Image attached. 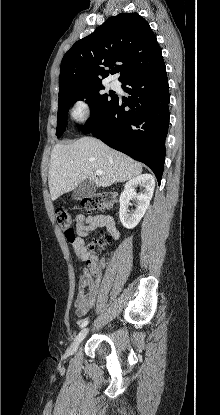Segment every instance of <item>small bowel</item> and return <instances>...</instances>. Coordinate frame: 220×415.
<instances>
[{
    "label": "small bowel",
    "instance_id": "c3829d8e",
    "mask_svg": "<svg viewBox=\"0 0 220 415\" xmlns=\"http://www.w3.org/2000/svg\"><path fill=\"white\" fill-rule=\"evenodd\" d=\"M105 228L112 239H117L119 232L114 218L111 215L78 214L75 217V229L65 231L67 241L73 246L81 260L88 258L85 238L99 229ZM99 292V281L91 279L87 274L81 276L77 286L75 311L77 316L83 317L93 308Z\"/></svg>",
    "mask_w": 220,
    "mask_h": 415
}]
</instances>
